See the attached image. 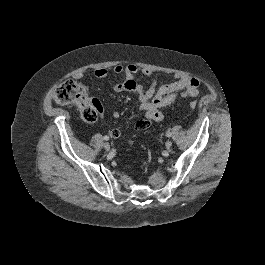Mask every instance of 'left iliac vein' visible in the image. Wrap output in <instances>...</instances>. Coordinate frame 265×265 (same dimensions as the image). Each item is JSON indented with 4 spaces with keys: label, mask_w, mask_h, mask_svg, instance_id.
<instances>
[{
    "label": "left iliac vein",
    "mask_w": 265,
    "mask_h": 265,
    "mask_svg": "<svg viewBox=\"0 0 265 265\" xmlns=\"http://www.w3.org/2000/svg\"><path fill=\"white\" fill-rule=\"evenodd\" d=\"M166 148L169 149L172 147V142L170 140H168L165 144Z\"/></svg>",
    "instance_id": "obj_1"
}]
</instances>
